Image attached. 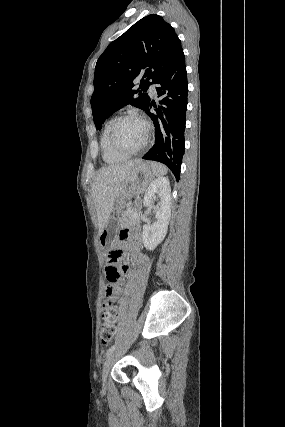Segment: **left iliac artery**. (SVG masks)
<instances>
[{
  "mask_svg": "<svg viewBox=\"0 0 285 427\" xmlns=\"http://www.w3.org/2000/svg\"><path fill=\"white\" fill-rule=\"evenodd\" d=\"M116 348V345H112L106 352V357H108Z\"/></svg>",
  "mask_w": 285,
  "mask_h": 427,
  "instance_id": "1",
  "label": "left iliac artery"
}]
</instances>
